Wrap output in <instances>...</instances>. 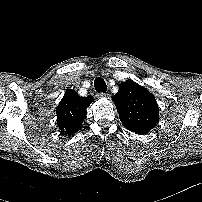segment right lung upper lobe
Listing matches in <instances>:
<instances>
[{
	"instance_id": "obj_1",
	"label": "right lung upper lobe",
	"mask_w": 202,
	"mask_h": 202,
	"mask_svg": "<svg viewBox=\"0 0 202 202\" xmlns=\"http://www.w3.org/2000/svg\"><path fill=\"white\" fill-rule=\"evenodd\" d=\"M93 101L92 96L80 97L74 90H67L56 108L57 124L62 133L71 135L81 129L86 109Z\"/></svg>"
}]
</instances>
